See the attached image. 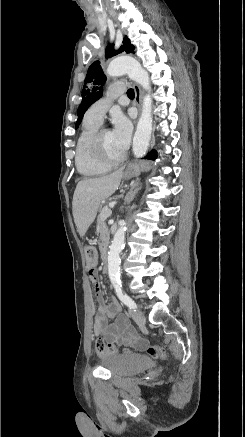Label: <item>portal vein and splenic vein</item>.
Returning <instances> with one entry per match:
<instances>
[{"instance_id":"1","label":"portal vein and splenic vein","mask_w":245,"mask_h":437,"mask_svg":"<svg viewBox=\"0 0 245 437\" xmlns=\"http://www.w3.org/2000/svg\"><path fill=\"white\" fill-rule=\"evenodd\" d=\"M110 207H111V205H110ZM103 213H104L103 215L105 218L109 217L111 214L110 209L108 207H106V209H104Z\"/></svg>"}]
</instances>
